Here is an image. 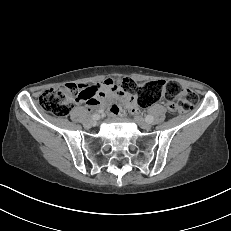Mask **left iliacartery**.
<instances>
[{
  "instance_id": "1",
  "label": "left iliac artery",
  "mask_w": 231,
  "mask_h": 231,
  "mask_svg": "<svg viewBox=\"0 0 231 231\" xmlns=\"http://www.w3.org/2000/svg\"><path fill=\"white\" fill-rule=\"evenodd\" d=\"M145 120H146L147 122L151 123V122L153 121V117L150 116V115H147V116H145Z\"/></svg>"
}]
</instances>
